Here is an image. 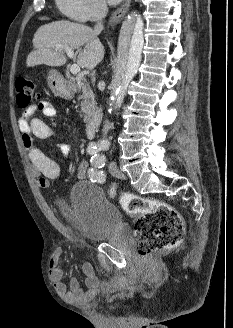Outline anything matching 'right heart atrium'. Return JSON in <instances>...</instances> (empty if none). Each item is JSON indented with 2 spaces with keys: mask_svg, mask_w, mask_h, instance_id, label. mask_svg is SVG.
<instances>
[{
  "mask_svg": "<svg viewBox=\"0 0 233 328\" xmlns=\"http://www.w3.org/2000/svg\"><path fill=\"white\" fill-rule=\"evenodd\" d=\"M56 2L65 16L78 22L98 19L106 11L104 0H56Z\"/></svg>",
  "mask_w": 233,
  "mask_h": 328,
  "instance_id": "obj_1",
  "label": "right heart atrium"
}]
</instances>
